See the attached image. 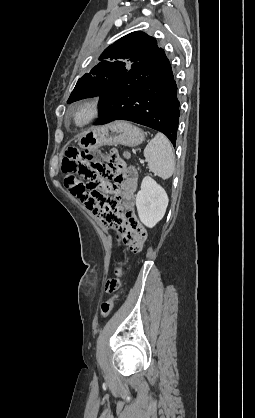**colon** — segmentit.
<instances>
[{"label":"colon","mask_w":255,"mask_h":418,"mask_svg":"<svg viewBox=\"0 0 255 418\" xmlns=\"http://www.w3.org/2000/svg\"><path fill=\"white\" fill-rule=\"evenodd\" d=\"M62 171L66 174L65 186L67 189L78 197L100 222L107 221L114 231L117 228H144L133 212L124 219L120 218L116 201L103 194L111 190L110 180L114 179L117 166L115 163L106 164L105 157L101 153H89L76 147H69L66 149L62 161ZM116 238V243L122 244L121 235L117 234ZM127 250L130 252V249ZM126 261V259L120 260L115 266L114 274L118 265L123 267L122 277L115 295L101 304L102 317H107L111 313L114 302L120 294L126 271Z\"/></svg>","instance_id":"5ec220e1"}]
</instances>
